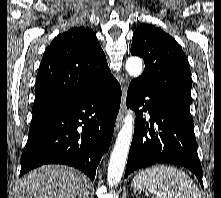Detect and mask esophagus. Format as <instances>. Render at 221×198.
<instances>
[{"mask_svg":"<svg viewBox=\"0 0 221 198\" xmlns=\"http://www.w3.org/2000/svg\"><path fill=\"white\" fill-rule=\"evenodd\" d=\"M126 94H127L126 87H124L123 88V93H122V102H121L120 110H119V113H118V116H117V120H116V126H115V130L116 131L121 126L122 120H123L125 112H126V103H125Z\"/></svg>","mask_w":221,"mask_h":198,"instance_id":"34e87169","label":"esophagus"}]
</instances>
